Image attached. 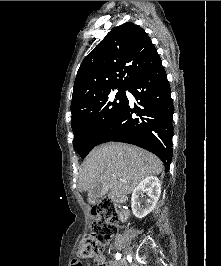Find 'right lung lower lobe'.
Masks as SVG:
<instances>
[{"label": "right lung lower lobe", "mask_w": 221, "mask_h": 266, "mask_svg": "<svg viewBox=\"0 0 221 266\" xmlns=\"http://www.w3.org/2000/svg\"><path fill=\"white\" fill-rule=\"evenodd\" d=\"M138 105L127 103L101 134L96 145L117 141L142 147L157 155L169 171L172 160L173 103L166 72L160 62L129 86Z\"/></svg>", "instance_id": "right-lung-lower-lobe-1"}]
</instances>
